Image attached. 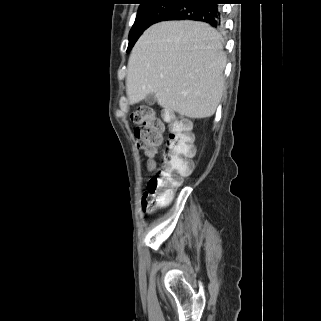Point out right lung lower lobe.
Returning <instances> with one entry per match:
<instances>
[{"mask_svg": "<svg viewBox=\"0 0 321 321\" xmlns=\"http://www.w3.org/2000/svg\"><path fill=\"white\" fill-rule=\"evenodd\" d=\"M221 0H185L176 3L161 15L159 21L166 20H195L206 22L212 27L221 26Z\"/></svg>", "mask_w": 321, "mask_h": 321, "instance_id": "98d812e1", "label": "right lung lower lobe"}]
</instances>
